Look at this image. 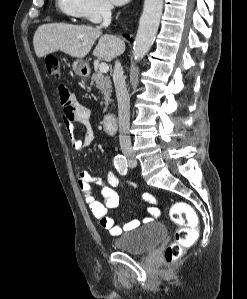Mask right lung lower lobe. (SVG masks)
I'll use <instances>...</instances> for the list:
<instances>
[{"label":"right lung lower lobe","instance_id":"98d812e1","mask_svg":"<svg viewBox=\"0 0 247 299\" xmlns=\"http://www.w3.org/2000/svg\"><path fill=\"white\" fill-rule=\"evenodd\" d=\"M127 39H130V37L128 36V35H124ZM130 40H132V39H130Z\"/></svg>","mask_w":247,"mask_h":299}]
</instances>
